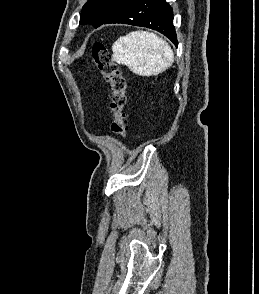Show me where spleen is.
I'll return each instance as SVG.
<instances>
[{
    "label": "spleen",
    "instance_id": "3e777b00",
    "mask_svg": "<svg viewBox=\"0 0 259 294\" xmlns=\"http://www.w3.org/2000/svg\"><path fill=\"white\" fill-rule=\"evenodd\" d=\"M113 60L141 76H153L168 69L174 62L169 44L154 33L132 31L112 45Z\"/></svg>",
    "mask_w": 259,
    "mask_h": 294
}]
</instances>
